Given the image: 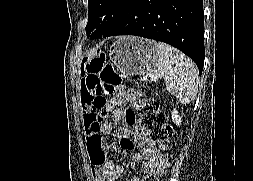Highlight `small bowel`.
<instances>
[{"label":"small bowel","mask_w":253,"mask_h":181,"mask_svg":"<svg viewBox=\"0 0 253 181\" xmlns=\"http://www.w3.org/2000/svg\"><path fill=\"white\" fill-rule=\"evenodd\" d=\"M81 100L82 109L84 113V121L89 116V107L85 102V95L87 93V87L85 82V71L81 70ZM125 103L131 104L133 107L138 106L136 92L132 89L119 88L116 95L113 96L108 102V108L110 109L111 116L108 121L100 124L94 123L92 130H100L101 137L98 138L88 127L85 121L86 134L88 138V149L90 151L91 167L96 176V181H120L121 176L124 173V167L116 165L113 162L106 159L105 151L107 146L104 143L102 135H109L112 132L113 125L118 122H122V127L119 130V136L122 140L121 146L124 150L130 151L134 145L139 146V151L135 152L129 157L130 163H140V172L143 175L148 174L151 166L158 161L160 157V149L152 141L146 133L139 132L132 140L128 127L135 121V113L131 109L122 110L119 106ZM93 156H96L94 159ZM133 181H144V178H134Z\"/></svg>","instance_id":"1"}]
</instances>
